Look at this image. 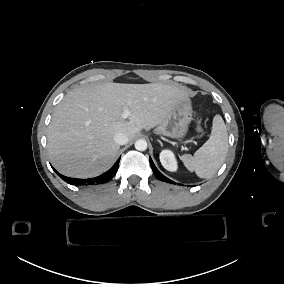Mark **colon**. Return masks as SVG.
I'll return each instance as SVG.
<instances>
[{"mask_svg":"<svg viewBox=\"0 0 284 284\" xmlns=\"http://www.w3.org/2000/svg\"><path fill=\"white\" fill-rule=\"evenodd\" d=\"M197 130H198V132H202V127H201V125H198Z\"/></svg>","mask_w":284,"mask_h":284,"instance_id":"obj_1","label":"colon"}]
</instances>
